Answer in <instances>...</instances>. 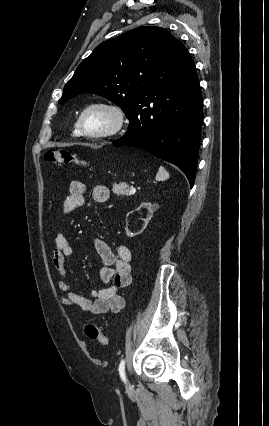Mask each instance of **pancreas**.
Instances as JSON below:
<instances>
[{
    "label": "pancreas",
    "mask_w": 269,
    "mask_h": 426,
    "mask_svg": "<svg viewBox=\"0 0 269 426\" xmlns=\"http://www.w3.org/2000/svg\"><path fill=\"white\" fill-rule=\"evenodd\" d=\"M112 191H113L114 194H116L118 196L119 195H122V196H124V195H127V196L130 195L129 194V187L124 182L123 183H119V184L114 183Z\"/></svg>",
    "instance_id": "1"
}]
</instances>
